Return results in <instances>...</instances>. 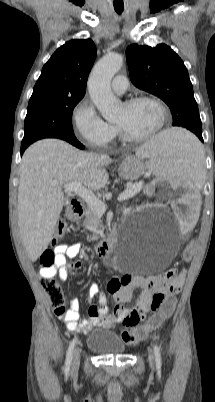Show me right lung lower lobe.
<instances>
[{
    "instance_id": "98d812e1",
    "label": "right lung lower lobe",
    "mask_w": 215,
    "mask_h": 402,
    "mask_svg": "<svg viewBox=\"0 0 215 402\" xmlns=\"http://www.w3.org/2000/svg\"><path fill=\"white\" fill-rule=\"evenodd\" d=\"M67 142H69L70 144L80 148V149H84V146L78 142V140L75 138V136L69 138L68 140H66ZM29 145H21V155L23 154V152L25 151V149L28 147Z\"/></svg>"
}]
</instances>
